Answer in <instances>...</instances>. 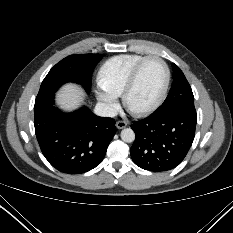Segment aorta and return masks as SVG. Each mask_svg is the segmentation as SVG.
<instances>
[{
	"instance_id": "aorta-1",
	"label": "aorta",
	"mask_w": 233,
	"mask_h": 233,
	"mask_svg": "<svg viewBox=\"0 0 233 233\" xmlns=\"http://www.w3.org/2000/svg\"><path fill=\"white\" fill-rule=\"evenodd\" d=\"M121 139L124 142L131 143L135 140V133L131 128H125L121 131Z\"/></svg>"
}]
</instances>
